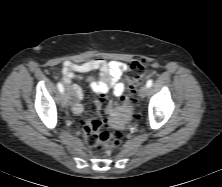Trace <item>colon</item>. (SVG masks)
<instances>
[{"mask_svg":"<svg viewBox=\"0 0 222 187\" xmlns=\"http://www.w3.org/2000/svg\"><path fill=\"white\" fill-rule=\"evenodd\" d=\"M145 72L146 64L143 60H135L130 64L128 81L131 92L138 90L145 78ZM128 101L132 102L133 99L128 98ZM130 107L133 108V105ZM139 117V114L134 112L130 121H137ZM127 120L128 115L123 109L115 106L105 95H100L89 108V118L80 120L79 126L88 146L112 151L118 146L123 136V127ZM109 125L115 126L116 130L108 131Z\"/></svg>","mask_w":222,"mask_h":187,"instance_id":"colon-1","label":"colon"}]
</instances>
